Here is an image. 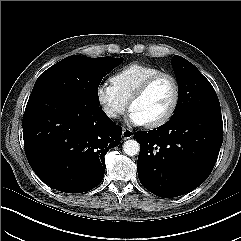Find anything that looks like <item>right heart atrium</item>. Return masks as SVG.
I'll list each match as a JSON object with an SVG mask.
<instances>
[{"mask_svg": "<svg viewBox=\"0 0 241 241\" xmlns=\"http://www.w3.org/2000/svg\"><path fill=\"white\" fill-rule=\"evenodd\" d=\"M96 99L105 116L111 120L119 118L128 108V101L111 83L104 82L97 86Z\"/></svg>", "mask_w": 241, "mask_h": 241, "instance_id": "right-heart-atrium-1", "label": "right heart atrium"}]
</instances>
